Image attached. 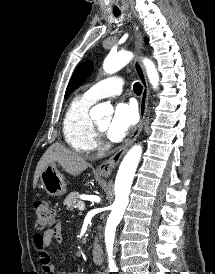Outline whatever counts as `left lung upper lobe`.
<instances>
[{
  "instance_id": "1",
  "label": "left lung upper lobe",
  "mask_w": 215,
  "mask_h": 274,
  "mask_svg": "<svg viewBox=\"0 0 215 274\" xmlns=\"http://www.w3.org/2000/svg\"><path fill=\"white\" fill-rule=\"evenodd\" d=\"M147 41V40H146ZM93 69V64L91 61H87L78 66L72 78L69 81L65 92V98L77 87H79L85 79L91 74Z\"/></svg>"
}]
</instances>
